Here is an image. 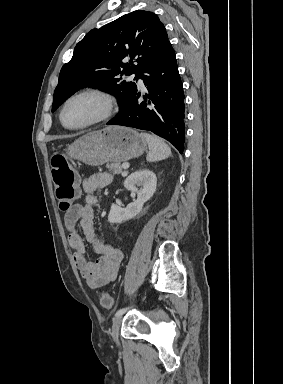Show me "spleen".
<instances>
[{
    "instance_id": "obj_1",
    "label": "spleen",
    "mask_w": 283,
    "mask_h": 384,
    "mask_svg": "<svg viewBox=\"0 0 283 384\" xmlns=\"http://www.w3.org/2000/svg\"><path fill=\"white\" fill-rule=\"evenodd\" d=\"M141 136L145 138L150 150L147 154V162H159V160H166L171 156V150L164 140L151 136V134H141Z\"/></svg>"
}]
</instances>
